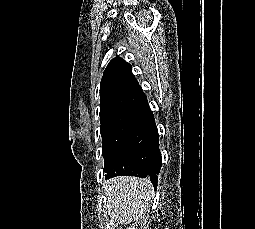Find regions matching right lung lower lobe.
<instances>
[{
	"mask_svg": "<svg viewBox=\"0 0 255 229\" xmlns=\"http://www.w3.org/2000/svg\"><path fill=\"white\" fill-rule=\"evenodd\" d=\"M125 115L139 121L142 124L143 129L152 130L158 135L154 116L152 111L150 110V107L148 106V103L140 107H136V108L128 110L125 113ZM160 168H161V154L159 149V140L157 138L156 144L152 151V155L150 157L147 167L145 168L134 167L128 170L127 172L111 174L106 176V178L109 179V178L120 176V175H130V176L143 177V178L149 177L154 188L156 189L157 183H158L157 175L159 174Z\"/></svg>",
	"mask_w": 255,
	"mask_h": 229,
	"instance_id": "obj_1",
	"label": "right lung lower lobe"
}]
</instances>
